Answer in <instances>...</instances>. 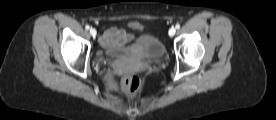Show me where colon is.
<instances>
[{"mask_svg":"<svg viewBox=\"0 0 276 120\" xmlns=\"http://www.w3.org/2000/svg\"><path fill=\"white\" fill-rule=\"evenodd\" d=\"M140 88V80L134 73H127L122 81V89L128 95L134 96Z\"/></svg>","mask_w":276,"mask_h":120,"instance_id":"1","label":"colon"}]
</instances>
